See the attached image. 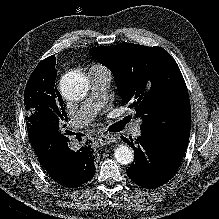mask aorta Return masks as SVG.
I'll return each mask as SVG.
<instances>
[{
	"instance_id": "762f6f07",
	"label": "aorta",
	"mask_w": 219,
	"mask_h": 219,
	"mask_svg": "<svg viewBox=\"0 0 219 219\" xmlns=\"http://www.w3.org/2000/svg\"><path fill=\"white\" fill-rule=\"evenodd\" d=\"M63 96L69 100L84 98L89 90V81L83 73L64 77L60 84ZM115 160L122 164H130L134 159L133 150L127 145H120L114 151Z\"/></svg>"
}]
</instances>
